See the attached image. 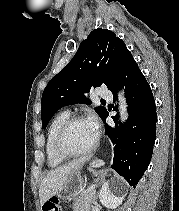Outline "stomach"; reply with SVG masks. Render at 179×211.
Masks as SVG:
<instances>
[{
    "label": "stomach",
    "instance_id": "1",
    "mask_svg": "<svg viewBox=\"0 0 179 211\" xmlns=\"http://www.w3.org/2000/svg\"><path fill=\"white\" fill-rule=\"evenodd\" d=\"M81 168L74 170L64 182L59 191L51 198L60 200H69L75 197L84 186V178L81 176Z\"/></svg>",
    "mask_w": 179,
    "mask_h": 211
}]
</instances>
